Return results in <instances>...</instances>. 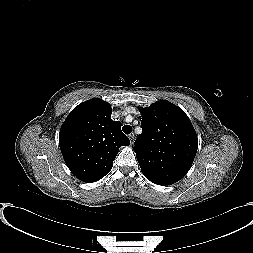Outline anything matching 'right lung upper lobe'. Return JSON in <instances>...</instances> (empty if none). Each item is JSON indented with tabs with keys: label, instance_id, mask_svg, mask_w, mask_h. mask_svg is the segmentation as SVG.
Wrapping results in <instances>:
<instances>
[{
	"label": "right lung upper lobe",
	"instance_id": "obj_1",
	"mask_svg": "<svg viewBox=\"0 0 253 253\" xmlns=\"http://www.w3.org/2000/svg\"><path fill=\"white\" fill-rule=\"evenodd\" d=\"M111 114L109 103L91 99L75 107L60 129L63 158L81 181L92 183L107 175L120 146L130 144Z\"/></svg>",
	"mask_w": 253,
	"mask_h": 253
}]
</instances>
